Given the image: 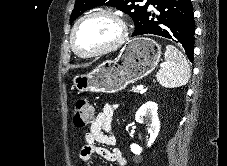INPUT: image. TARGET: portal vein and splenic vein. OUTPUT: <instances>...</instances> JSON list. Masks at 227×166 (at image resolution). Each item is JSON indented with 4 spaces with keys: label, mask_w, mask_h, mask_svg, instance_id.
<instances>
[{
    "label": "portal vein and splenic vein",
    "mask_w": 227,
    "mask_h": 166,
    "mask_svg": "<svg viewBox=\"0 0 227 166\" xmlns=\"http://www.w3.org/2000/svg\"><path fill=\"white\" fill-rule=\"evenodd\" d=\"M144 86L143 85H139L136 87V91H141L143 90Z\"/></svg>",
    "instance_id": "portal-vein-and-splenic-vein-1"
}]
</instances>
